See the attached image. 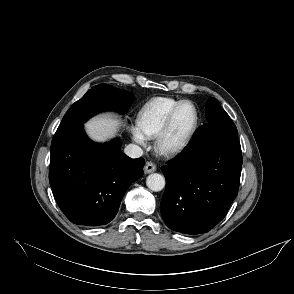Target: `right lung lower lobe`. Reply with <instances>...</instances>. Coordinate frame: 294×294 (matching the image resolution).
Wrapping results in <instances>:
<instances>
[{
	"instance_id": "right-lung-lower-lobe-1",
	"label": "right lung lower lobe",
	"mask_w": 294,
	"mask_h": 294,
	"mask_svg": "<svg viewBox=\"0 0 294 294\" xmlns=\"http://www.w3.org/2000/svg\"><path fill=\"white\" fill-rule=\"evenodd\" d=\"M103 106L116 102L120 90L99 84L87 92ZM144 159H131L114 139L91 141L83 123L57 130L51 143L49 182L54 198L74 224L99 226L116 216L128 187L143 173Z\"/></svg>"
}]
</instances>
